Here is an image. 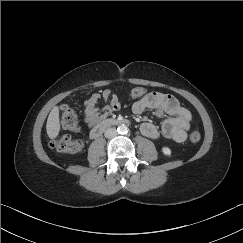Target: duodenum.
I'll return each instance as SVG.
<instances>
[{
	"label": "duodenum",
	"instance_id": "duodenum-1",
	"mask_svg": "<svg viewBox=\"0 0 243 243\" xmlns=\"http://www.w3.org/2000/svg\"><path fill=\"white\" fill-rule=\"evenodd\" d=\"M128 121L124 119H116V118H109L99 122L96 126H94L90 132V137L92 139H98L102 133L112 126L127 124Z\"/></svg>",
	"mask_w": 243,
	"mask_h": 243
}]
</instances>
